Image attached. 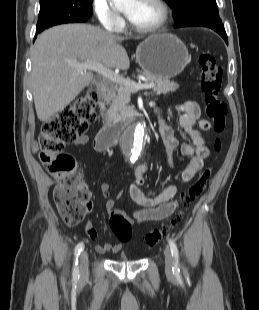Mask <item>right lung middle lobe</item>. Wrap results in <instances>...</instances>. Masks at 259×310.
I'll return each mask as SVG.
<instances>
[{"mask_svg": "<svg viewBox=\"0 0 259 310\" xmlns=\"http://www.w3.org/2000/svg\"><path fill=\"white\" fill-rule=\"evenodd\" d=\"M93 0H40L36 31L55 23L85 22L92 15Z\"/></svg>", "mask_w": 259, "mask_h": 310, "instance_id": "right-lung-middle-lobe-1", "label": "right lung middle lobe"}]
</instances>
